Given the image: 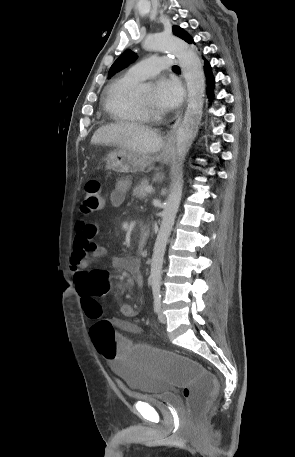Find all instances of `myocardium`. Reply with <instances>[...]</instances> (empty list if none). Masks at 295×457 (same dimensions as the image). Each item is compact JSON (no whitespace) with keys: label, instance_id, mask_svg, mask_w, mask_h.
I'll list each match as a JSON object with an SVG mask.
<instances>
[{"label":"myocardium","instance_id":"myocardium-1","mask_svg":"<svg viewBox=\"0 0 295 457\" xmlns=\"http://www.w3.org/2000/svg\"><path fill=\"white\" fill-rule=\"evenodd\" d=\"M139 106L144 112H151L152 111L150 106H145V105H142V104H139Z\"/></svg>","mask_w":295,"mask_h":457}]
</instances>
